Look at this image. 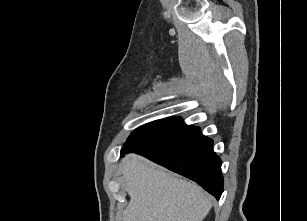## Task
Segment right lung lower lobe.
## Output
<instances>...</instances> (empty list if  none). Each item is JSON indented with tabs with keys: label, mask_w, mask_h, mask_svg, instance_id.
<instances>
[{
	"label": "right lung lower lobe",
	"mask_w": 307,
	"mask_h": 221,
	"mask_svg": "<svg viewBox=\"0 0 307 221\" xmlns=\"http://www.w3.org/2000/svg\"><path fill=\"white\" fill-rule=\"evenodd\" d=\"M129 152L140 154L197 182L216 199L223 192L221 160L213 151L212 139L202 135L198 127L169 141Z\"/></svg>",
	"instance_id": "right-lung-lower-lobe-1"
}]
</instances>
